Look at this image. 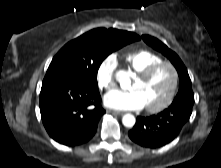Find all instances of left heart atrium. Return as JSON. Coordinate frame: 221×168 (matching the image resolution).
I'll use <instances>...</instances> for the list:
<instances>
[{
  "label": "left heart atrium",
  "instance_id": "1",
  "mask_svg": "<svg viewBox=\"0 0 221 168\" xmlns=\"http://www.w3.org/2000/svg\"><path fill=\"white\" fill-rule=\"evenodd\" d=\"M107 107L116 110H140L145 107L144 99L138 90H113L104 97Z\"/></svg>",
  "mask_w": 221,
  "mask_h": 168
}]
</instances>
